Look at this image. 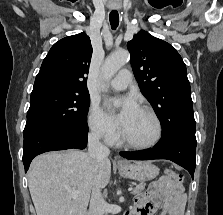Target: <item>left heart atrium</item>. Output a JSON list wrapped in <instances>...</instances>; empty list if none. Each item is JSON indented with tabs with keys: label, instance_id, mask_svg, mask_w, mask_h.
<instances>
[{
	"label": "left heart atrium",
	"instance_id": "1",
	"mask_svg": "<svg viewBox=\"0 0 223 215\" xmlns=\"http://www.w3.org/2000/svg\"><path fill=\"white\" fill-rule=\"evenodd\" d=\"M121 101L123 106L119 113L115 116V120L118 126L123 127L132 115L137 111L138 105L136 100L132 96H126L123 98H113L107 101V105L111 106L113 103Z\"/></svg>",
	"mask_w": 223,
	"mask_h": 215
}]
</instances>
